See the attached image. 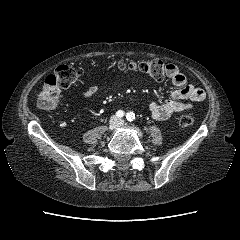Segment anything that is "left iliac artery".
Returning a JSON list of instances; mask_svg holds the SVG:
<instances>
[{
    "mask_svg": "<svg viewBox=\"0 0 240 240\" xmlns=\"http://www.w3.org/2000/svg\"><path fill=\"white\" fill-rule=\"evenodd\" d=\"M126 119L130 122L133 121L135 119V114L133 112L127 113Z\"/></svg>",
    "mask_w": 240,
    "mask_h": 240,
    "instance_id": "44dca946",
    "label": "left iliac artery"
}]
</instances>
